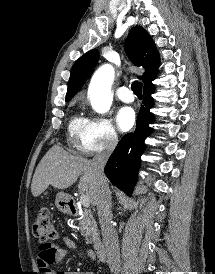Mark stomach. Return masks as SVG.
<instances>
[{"label": "stomach", "mask_w": 215, "mask_h": 274, "mask_svg": "<svg viewBox=\"0 0 215 274\" xmlns=\"http://www.w3.org/2000/svg\"><path fill=\"white\" fill-rule=\"evenodd\" d=\"M68 202H69L68 194H66L64 192H60L57 194L55 204L60 211H62V212L68 211V209H69Z\"/></svg>", "instance_id": "1"}]
</instances>
